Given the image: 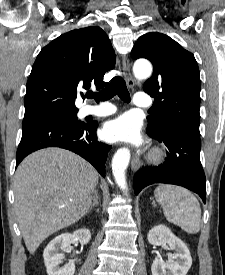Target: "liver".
<instances>
[{
  "label": "liver",
  "mask_w": 225,
  "mask_h": 275,
  "mask_svg": "<svg viewBox=\"0 0 225 275\" xmlns=\"http://www.w3.org/2000/svg\"><path fill=\"white\" fill-rule=\"evenodd\" d=\"M98 173L77 154L51 147L30 154L14 177L15 210L30 254L89 210Z\"/></svg>",
  "instance_id": "6515ba94"
}]
</instances>
